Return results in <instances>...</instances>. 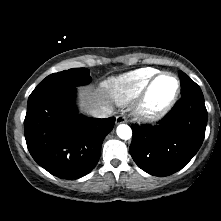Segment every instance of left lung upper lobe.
Segmentation results:
<instances>
[{
    "instance_id": "5c2ea615",
    "label": "left lung upper lobe",
    "mask_w": 221,
    "mask_h": 221,
    "mask_svg": "<svg viewBox=\"0 0 221 221\" xmlns=\"http://www.w3.org/2000/svg\"><path fill=\"white\" fill-rule=\"evenodd\" d=\"M180 82H181V96L187 95H198L203 96L200 87L192 81L184 72L179 71Z\"/></svg>"
}]
</instances>
